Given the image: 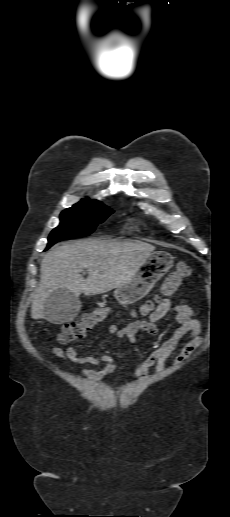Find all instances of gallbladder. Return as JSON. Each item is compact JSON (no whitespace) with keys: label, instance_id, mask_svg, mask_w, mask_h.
<instances>
[{"label":"gallbladder","instance_id":"bac80fb5","mask_svg":"<svg viewBox=\"0 0 230 517\" xmlns=\"http://www.w3.org/2000/svg\"><path fill=\"white\" fill-rule=\"evenodd\" d=\"M80 308L79 298L66 289L52 292L44 304L46 319L54 324L72 320Z\"/></svg>","mask_w":230,"mask_h":517}]
</instances>
